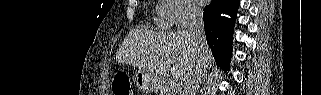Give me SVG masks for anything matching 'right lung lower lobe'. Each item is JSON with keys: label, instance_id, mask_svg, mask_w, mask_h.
<instances>
[{"label": "right lung lower lobe", "instance_id": "98d812e1", "mask_svg": "<svg viewBox=\"0 0 321 95\" xmlns=\"http://www.w3.org/2000/svg\"><path fill=\"white\" fill-rule=\"evenodd\" d=\"M238 6L239 0H212L203 13L207 43L217 65L224 70H229ZM221 14H228L231 18Z\"/></svg>", "mask_w": 321, "mask_h": 95}]
</instances>
